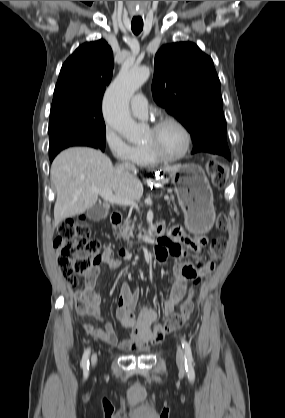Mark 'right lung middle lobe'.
I'll use <instances>...</instances> for the list:
<instances>
[{
	"mask_svg": "<svg viewBox=\"0 0 285 418\" xmlns=\"http://www.w3.org/2000/svg\"><path fill=\"white\" fill-rule=\"evenodd\" d=\"M106 128L100 105L59 103L51 106L49 157L84 144L105 150Z\"/></svg>",
	"mask_w": 285,
	"mask_h": 418,
	"instance_id": "dd1d6c3e",
	"label": "right lung middle lobe"
}]
</instances>
